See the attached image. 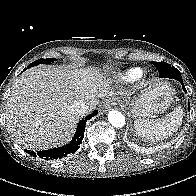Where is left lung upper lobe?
<instances>
[{"label":"left lung upper lobe","instance_id":"1","mask_svg":"<svg viewBox=\"0 0 196 196\" xmlns=\"http://www.w3.org/2000/svg\"><path fill=\"white\" fill-rule=\"evenodd\" d=\"M155 67L158 68L159 71V77L161 78H168V75L175 74V75H181L180 72L173 66H171L168 63L165 62H152ZM167 74V75H165Z\"/></svg>","mask_w":196,"mask_h":196}]
</instances>
